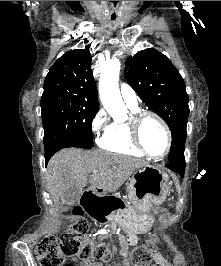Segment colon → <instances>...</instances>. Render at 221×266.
<instances>
[{"mask_svg":"<svg viewBox=\"0 0 221 266\" xmlns=\"http://www.w3.org/2000/svg\"><path fill=\"white\" fill-rule=\"evenodd\" d=\"M74 214L80 216L82 209L75 207ZM89 224L78 220L58 237L46 236L37 247L40 266H74L65 262L66 258H81L83 260L109 261L111 253L104 243H93L87 238ZM158 238L150 237L142 245L135 248L131 254L132 266H149L156 251Z\"/></svg>","mask_w":221,"mask_h":266,"instance_id":"1","label":"colon"}]
</instances>
